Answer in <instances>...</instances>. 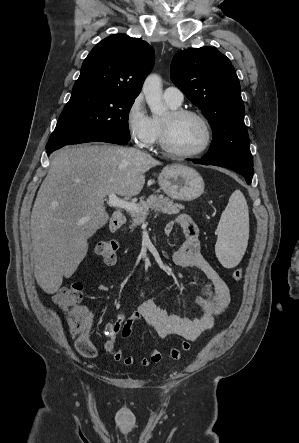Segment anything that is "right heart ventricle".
Here are the masks:
<instances>
[{
  "instance_id": "e07e8e85",
  "label": "right heart ventricle",
  "mask_w": 299,
  "mask_h": 443,
  "mask_svg": "<svg viewBox=\"0 0 299 443\" xmlns=\"http://www.w3.org/2000/svg\"><path fill=\"white\" fill-rule=\"evenodd\" d=\"M167 104H168V106L171 109H177L179 107V106L172 105V104H170L168 102H167ZM153 124H154V129H155V137H154V140H153V142H152V144L150 146H152V145H154V144H156L158 142L159 134H160V120L154 118L153 119Z\"/></svg>"
}]
</instances>
